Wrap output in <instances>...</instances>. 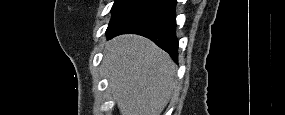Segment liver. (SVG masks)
Listing matches in <instances>:
<instances>
[{"instance_id": "1", "label": "liver", "mask_w": 285, "mask_h": 115, "mask_svg": "<svg viewBox=\"0 0 285 115\" xmlns=\"http://www.w3.org/2000/svg\"><path fill=\"white\" fill-rule=\"evenodd\" d=\"M103 67L121 115H160L176 85V65L152 41L121 35L105 47Z\"/></svg>"}]
</instances>
